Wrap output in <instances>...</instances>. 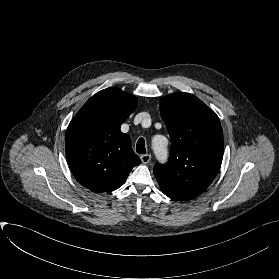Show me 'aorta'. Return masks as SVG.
Segmentation results:
<instances>
[{"mask_svg":"<svg viewBox=\"0 0 279 279\" xmlns=\"http://www.w3.org/2000/svg\"><path fill=\"white\" fill-rule=\"evenodd\" d=\"M153 151L158 160H165L167 157V146L165 143V138L163 136L157 135L153 138L152 142Z\"/></svg>","mask_w":279,"mask_h":279,"instance_id":"1","label":"aorta"}]
</instances>
